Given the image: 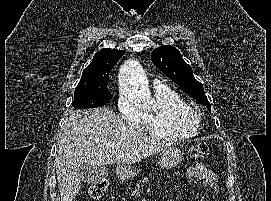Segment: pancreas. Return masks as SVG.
Segmentation results:
<instances>
[{
    "mask_svg": "<svg viewBox=\"0 0 271 201\" xmlns=\"http://www.w3.org/2000/svg\"><path fill=\"white\" fill-rule=\"evenodd\" d=\"M142 181H143V183H146V182L148 181V179L145 177V178H143ZM142 188H143V185H142V184H137L135 190L133 191V194H134V195H135V194H140L141 191H142Z\"/></svg>",
    "mask_w": 271,
    "mask_h": 201,
    "instance_id": "cf45deb5",
    "label": "pancreas"
}]
</instances>
